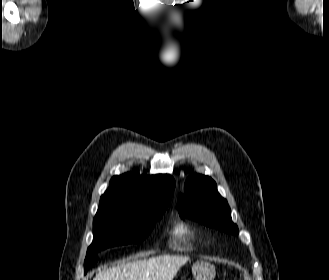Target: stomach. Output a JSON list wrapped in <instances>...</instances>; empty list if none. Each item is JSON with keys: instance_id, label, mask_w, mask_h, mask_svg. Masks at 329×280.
Instances as JSON below:
<instances>
[{"instance_id": "obj_1", "label": "stomach", "mask_w": 329, "mask_h": 280, "mask_svg": "<svg viewBox=\"0 0 329 280\" xmlns=\"http://www.w3.org/2000/svg\"><path fill=\"white\" fill-rule=\"evenodd\" d=\"M192 273L196 280H213L216 275L214 265L207 261H197L194 263Z\"/></svg>"}]
</instances>
